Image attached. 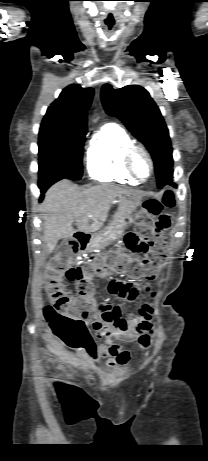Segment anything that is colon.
Instances as JSON below:
<instances>
[{
    "mask_svg": "<svg viewBox=\"0 0 208 461\" xmlns=\"http://www.w3.org/2000/svg\"><path fill=\"white\" fill-rule=\"evenodd\" d=\"M175 205L174 194L167 191L163 201L148 200L134 218V231L124 238V249L113 252L110 263L121 274L131 279H155L160 267L166 264L164 252L166 238L164 231L169 227L171 218L161 214L163 207ZM157 216L156 219L153 217ZM85 239L67 241L55 255L46 269L45 285L51 304L45 306L44 315L55 336L71 348L81 349L92 342L86 319L95 314L93 299V280L105 271L103 258H95L81 266H70L73 255L84 244ZM146 253L143 260L131 259L127 253ZM76 284L78 295L67 291L64 280ZM144 331L153 333L150 324H144ZM142 347L150 344V335L139 338Z\"/></svg>",
    "mask_w": 208,
    "mask_h": 461,
    "instance_id": "1",
    "label": "colon"
}]
</instances>
